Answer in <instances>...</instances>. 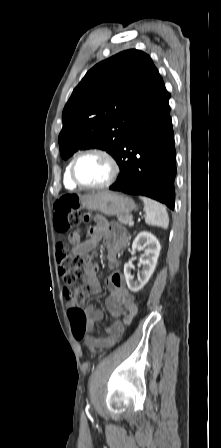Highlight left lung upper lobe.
Masks as SVG:
<instances>
[{"mask_svg": "<svg viewBox=\"0 0 221 448\" xmlns=\"http://www.w3.org/2000/svg\"><path fill=\"white\" fill-rule=\"evenodd\" d=\"M151 58L130 49L90 69L62 113L61 156L99 148L117 157L122 140L140 112L165 91Z\"/></svg>", "mask_w": 221, "mask_h": 448, "instance_id": "obj_1", "label": "left lung upper lobe"}]
</instances>
